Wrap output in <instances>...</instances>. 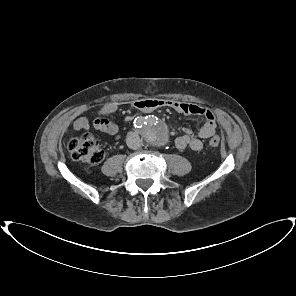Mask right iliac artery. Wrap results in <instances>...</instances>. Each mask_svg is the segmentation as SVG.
Wrapping results in <instances>:
<instances>
[{"label":"right iliac artery","mask_w":296,"mask_h":296,"mask_svg":"<svg viewBox=\"0 0 296 296\" xmlns=\"http://www.w3.org/2000/svg\"><path fill=\"white\" fill-rule=\"evenodd\" d=\"M146 122H143V119L141 118H136L134 121V126L135 128H141L143 126V124H145Z\"/></svg>","instance_id":"82829eb1"}]
</instances>
